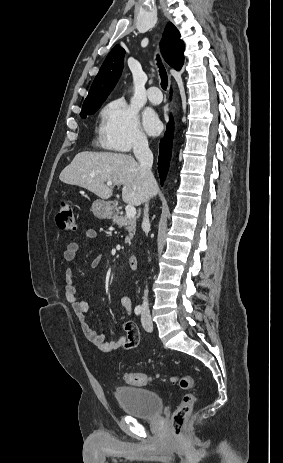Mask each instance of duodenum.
Masks as SVG:
<instances>
[{
  "instance_id": "410a0bca",
  "label": "duodenum",
  "mask_w": 283,
  "mask_h": 463,
  "mask_svg": "<svg viewBox=\"0 0 283 463\" xmlns=\"http://www.w3.org/2000/svg\"><path fill=\"white\" fill-rule=\"evenodd\" d=\"M129 267L131 270L138 269V258L137 256H130L129 258Z\"/></svg>"
}]
</instances>
